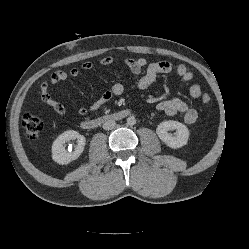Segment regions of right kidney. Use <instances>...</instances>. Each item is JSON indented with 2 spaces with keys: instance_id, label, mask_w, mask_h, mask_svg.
I'll list each match as a JSON object with an SVG mask.
<instances>
[{
  "instance_id": "1",
  "label": "right kidney",
  "mask_w": 249,
  "mask_h": 249,
  "mask_svg": "<svg viewBox=\"0 0 249 249\" xmlns=\"http://www.w3.org/2000/svg\"><path fill=\"white\" fill-rule=\"evenodd\" d=\"M77 139V146L74 152H67L65 142ZM86 139L79 132L68 130L60 134L52 144V159L58 164L66 165L76 160L84 151Z\"/></svg>"
}]
</instances>
